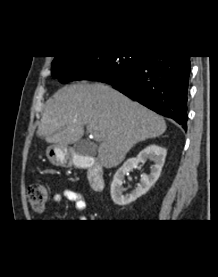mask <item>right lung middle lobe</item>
Masks as SVG:
<instances>
[{
  "instance_id": "1",
  "label": "right lung middle lobe",
  "mask_w": 218,
  "mask_h": 277,
  "mask_svg": "<svg viewBox=\"0 0 218 277\" xmlns=\"http://www.w3.org/2000/svg\"><path fill=\"white\" fill-rule=\"evenodd\" d=\"M143 56H86L56 57L52 62V76L61 82L89 79L123 80L142 60Z\"/></svg>"
}]
</instances>
